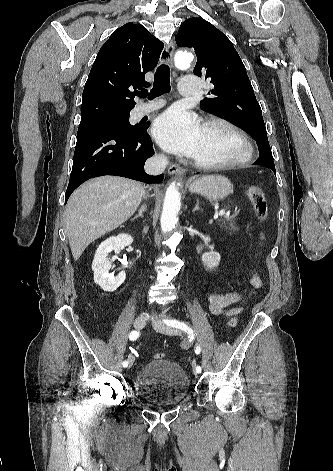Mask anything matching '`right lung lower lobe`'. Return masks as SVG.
Here are the masks:
<instances>
[{"mask_svg": "<svg viewBox=\"0 0 333 471\" xmlns=\"http://www.w3.org/2000/svg\"><path fill=\"white\" fill-rule=\"evenodd\" d=\"M149 124L125 127L112 123L79 126L65 202L86 180L115 175L144 183H160L164 175L145 173V161L154 154L146 130Z\"/></svg>", "mask_w": 333, "mask_h": 471, "instance_id": "right-lung-lower-lobe-1", "label": "right lung lower lobe"}]
</instances>
